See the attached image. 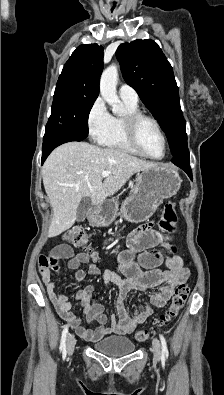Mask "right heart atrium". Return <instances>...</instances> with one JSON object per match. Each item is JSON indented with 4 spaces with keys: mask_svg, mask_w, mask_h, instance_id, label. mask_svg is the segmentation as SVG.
Listing matches in <instances>:
<instances>
[{
    "mask_svg": "<svg viewBox=\"0 0 224 395\" xmlns=\"http://www.w3.org/2000/svg\"><path fill=\"white\" fill-rule=\"evenodd\" d=\"M110 116L104 100L101 97L96 98L91 104L86 118L87 129L93 140H99L107 131Z\"/></svg>",
    "mask_w": 224,
    "mask_h": 395,
    "instance_id": "d8ad5b80",
    "label": "right heart atrium"
}]
</instances>
